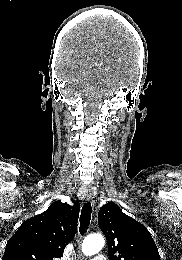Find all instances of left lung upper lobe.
I'll list each match as a JSON object with an SVG mask.
<instances>
[{
  "label": "left lung upper lobe",
  "instance_id": "left-lung-upper-lobe-1",
  "mask_svg": "<svg viewBox=\"0 0 182 260\" xmlns=\"http://www.w3.org/2000/svg\"><path fill=\"white\" fill-rule=\"evenodd\" d=\"M98 224L107 239L110 260H160L147 228L124 214L114 202L102 206Z\"/></svg>",
  "mask_w": 182,
  "mask_h": 260
}]
</instances>
